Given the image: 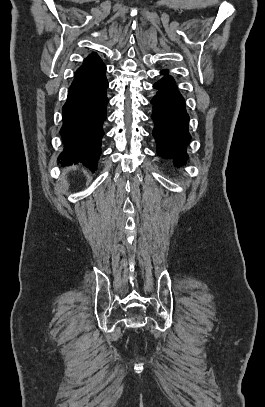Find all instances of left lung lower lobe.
<instances>
[{"mask_svg": "<svg viewBox=\"0 0 265 407\" xmlns=\"http://www.w3.org/2000/svg\"><path fill=\"white\" fill-rule=\"evenodd\" d=\"M161 74L165 76L153 85L158 92L151 100V118L154 121L152 134L158 155L173 158L174 164L180 166L185 163L184 158L188 157L186 146L191 138L188 132L189 116L174 78L168 75V70H162Z\"/></svg>", "mask_w": 265, "mask_h": 407, "instance_id": "obj_1", "label": "left lung lower lobe"}]
</instances>
